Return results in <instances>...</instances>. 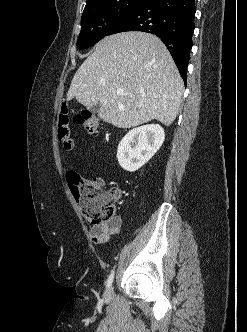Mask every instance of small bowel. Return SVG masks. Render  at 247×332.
<instances>
[{
  "instance_id": "small-bowel-1",
  "label": "small bowel",
  "mask_w": 247,
  "mask_h": 332,
  "mask_svg": "<svg viewBox=\"0 0 247 332\" xmlns=\"http://www.w3.org/2000/svg\"><path fill=\"white\" fill-rule=\"evenodd\" d=\"M115 199H119L121 191L118 188L112 189ZM122 225V218L120 216H114L108 222L102 225H94L90 229L91 240L95 244H102L107 242L111 236L117 234L120 231Z\"/></svg>"
}]
</instances>
